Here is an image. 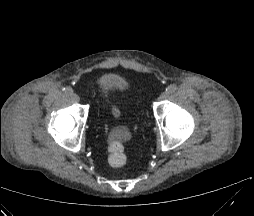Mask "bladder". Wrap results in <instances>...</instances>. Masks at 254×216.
<instances>
[{
	"mask_svg": "<svg viewBox=\"0 0 254 216\" xmlns=\"http://www.w3.org/2000/svg\"><path fill=\"white\" fill-rule=\"evenodd\" d=\"M123 84L122 78L116 75H105L98 82L101 99L108 112L115 118H121L124 114V108L116 98L117 91Z\"/></svg>",
	"mask_w": 254,
	"mask_h": 216,
	"instance_id": "obj_1",
	"label": "bladder"
}]
</instances>
